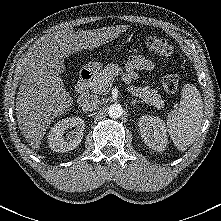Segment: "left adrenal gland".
<instances>
[{"mask_svg":"<svg viewBox=\"0 0 221 221\" xmlns=\"http://www.w3.org/2000/svg\"><path fill=\"white\" fill-rule=\"evenodd\" d=\"M136 103H141V101L136 100V99H132L131 102H130L131 105H135Z\"/></svg>","mask_w":221,"mask_h":221,"instance_id":"1","label":"left adrenal gland"}]
</instances>
